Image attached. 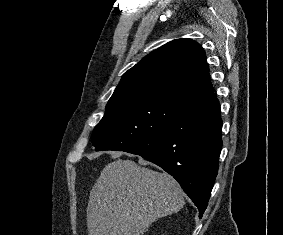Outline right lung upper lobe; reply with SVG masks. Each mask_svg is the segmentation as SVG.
Instances as JSON below:
<instances>
[{
  "label": "right lung upper lobe",
  "instance_id": "obj_1",
  "mask_svg": "<svg viewBox=\"0 0 283 235\" xmlns=\"http://www.w3.org/2000/svg\"><path fill=\"white\" fill-rule=\"evenodd\" d=\"M212 91L203 48L191 39H177L125 72L108 103L157 98L187 104Z\"/></svg>",
  "mask_w": 283,
  "mask_h": 235
}]
</instances>
